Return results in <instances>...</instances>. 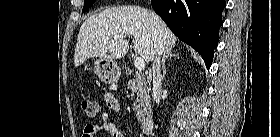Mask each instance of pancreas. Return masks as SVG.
<instances>
[{
    "mask_svg": "<svg viewBox=\"0 0 280 137\" xmlns=\"http://www.w3.org/2000/svg\"><path fill=\"white\" fill-rule=\"evenodd\" d=\"M128 89H130L133 95H136L134 110L138 117V121H143L145 116L151 112L149 89L147 82L140 76L136 79L128 81Z\"/></svg>",
    "mask_w": 280,
    "mask_h": 137,
    "instance_id": "cf45deb5",
    "label": "pancreas"
}]
</instances>
